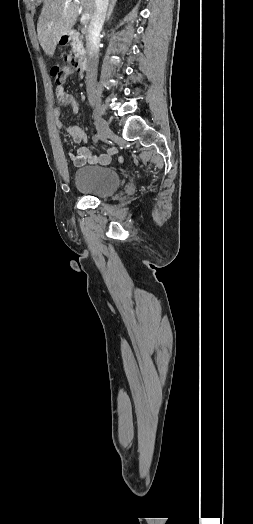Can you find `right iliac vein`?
Listing matches in <instances>:
<instances>
[{"label": "right iliac vein", "instance_id": "1", "mask_svg": "<svg viewBox=\"0 0 253 524\" xmlns=\"http://www.w3.org/2000/svg\"><path fill=\"white\" fill-rule=\"evenodd\" d=\"M94 120L100 137L103 140L110 138L112 136V131L109 128L107 121L98 113L94 114Z\"/></svg>", "mask_w": 253, "mask_h": 524}]
</instances>
